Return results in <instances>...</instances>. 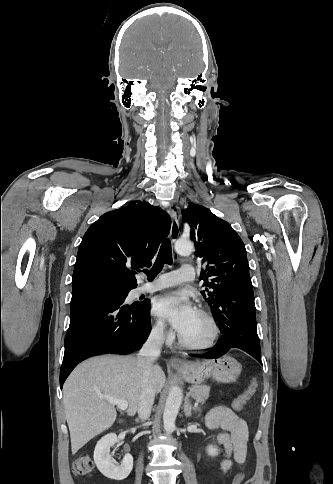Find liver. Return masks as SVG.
<instances>
[{"label":"liver","mask_w":333,"mask_h":484,"mask_svg":"<svg viewBox=\"0 0 333 484\" xmlns=\"http://www.w3.org/2000/svg\"><path fill=\"white\" fill-rule=\"evenodd\" d=\"M142 372L134 356H99L81 363L69 375L63 386V404L72 454L115 422V406L104 396L125 399L127 414L135 415ZM150 376L154 391L159 393L166 377L158 364H153Z\"/></svg>","instance_id":"6515ba94"}]
</instances>
